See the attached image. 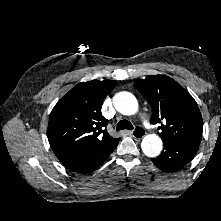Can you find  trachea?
Masks as SVG:
<instances>
[{"label": "trachea", "mask_w": 221, "mask_h": 221, "mask_svg": "<svg viewBox=\"0 0 221 221\" xmlns=\"http://www.w3.org/2000/svg\"><path fill=\"white\" fill-rule=\"evenodd\" d=\"M133 130L132 124L128 120H120L117 124L116 130L121 131V130Z\"/></svg>", "instance_id": "1"}]
</instances>
